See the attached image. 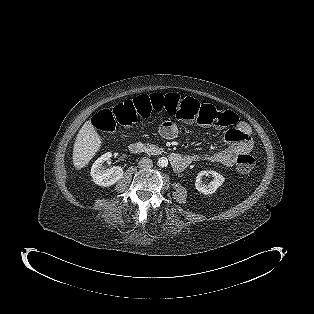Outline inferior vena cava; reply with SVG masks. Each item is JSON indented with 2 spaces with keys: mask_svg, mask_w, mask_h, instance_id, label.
Wrapping results in <instances>:
<instances>
[{
  "mask_svg": "<svg viewBox=\"0 0 314 314\" xmlns=\"http://www.w3.org/2000/svg\"><path fill=\"white\" fill-rule=\"evenodd\" d=\"M138 165L142 169H149L153 166V162L150 158L143 157L139 160Z\"/></svg>",
  "mask_w": 314,
  "mask_h": 314,
  "instance_id": "inferior-vena-cava-1",
  "label": "inferior vena cava"
}]
</instances>
